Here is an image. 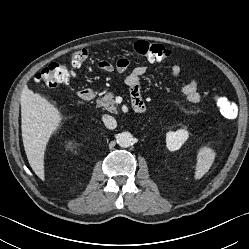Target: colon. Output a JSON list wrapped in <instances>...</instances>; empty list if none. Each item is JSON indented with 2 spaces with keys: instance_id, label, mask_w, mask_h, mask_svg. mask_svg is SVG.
Listing matches in <instances>:
<instances>
[{
  "instance_id": "5ec220e1",
  "label": "colon",
  "mask_w": 249,
  "mask_h": 249,
  "mask_svg": "<svg viewBox=\"0 0 249 249\" xmlns=\"http://www.w3.org/2000/svg\"><path fill=\"white\" fill-rule=\"evenodd\" d=\"M132 50L152 62H162L166 60L170 53L160 44H153L148 41L140 40L133 44ZM89 53L85 49L74 51L70 55V66H65L59 63H51L35 76V80L45 87L52 88L58 84L68 83L74 77L77 71L88 60ZM220 112L226 119H231L232 115L227 113L229 107L233 109V102L226 97L215 96Z\"/></svg>"
}]
</instances>
